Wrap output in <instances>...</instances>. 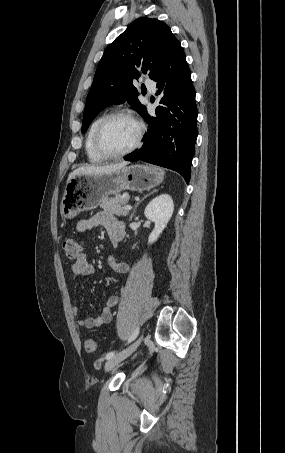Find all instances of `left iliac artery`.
<instances>
[{
    "label": "left iliac artery",
    "instance_id": "left-iliac-artery-1",
    "mask_svg": "<svg viewBox=\"0 0 285 453\" xmlns=\"http://www.w3.org/2000/svg\"><path fill=\"white\" fill-rule=\"evenodd\" d=\"M138 334H139V327H137V328L134 330V332H133V334L131 335V337H130V339H129L128 342H132V341L138 336ZM114 355H115V351H111V352H109V353L106 354L105 359H110V358L113 357Z\"/></svg>",
    "mask_w": 285,
    "mask_h": 453
}]
</instances>
